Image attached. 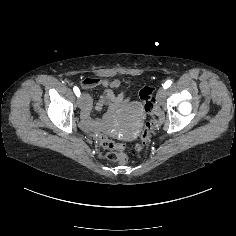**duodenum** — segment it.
Here are the masks:
<instances>
[{"mask_svg":"<svg viewBox=\"0 0 236 236\" xmlns=\"http://www.w3.org/2000/svg\"><path fill=\"white\" fill-rule=\"evenodd\" d=\"M121 101L122 97L115 98L111 91H107L101 97L97 105L100 108H102L104 105L108 106L109 108L108 114L105 116L104 119H96V120L90 119L89 116L82 115L81 123L83 127L87 130H94L102 126L108 120V118L117 110ZM90 108H91V100L87 98L84 111L89 110Z\"/></svg>","mask_w":236,"mask_h":236,"instance_id":"1","label":"duodenum"}]
</instances>
